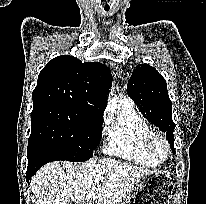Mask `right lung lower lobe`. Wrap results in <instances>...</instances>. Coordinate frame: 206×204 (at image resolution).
<instances>
[{
	"label": "right lung lower lobe",
	"mask_w": 206,
	"mask_h": 204,
	"mask_svg": "<svg viewBox=\"0 0 206 204\" xmlns=\"http://www.w3.org/2000/svg\"><path fill=\"white\" fill-rule=\"evenodd\" d=\"M51 162L45 155L37 154L31 157H28V167L26 180L29 181L30 178L37 172V170L44 164Z\"/></svg>",
	"instance_id": "98d812e1"
}]
</instances>
